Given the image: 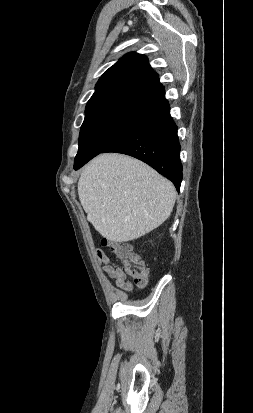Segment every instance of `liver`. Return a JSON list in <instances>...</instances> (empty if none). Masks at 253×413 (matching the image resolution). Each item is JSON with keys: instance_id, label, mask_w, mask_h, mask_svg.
I'll list each match as a JSON object with an SVG mask.
<instances>
[{"instance_id": "1", "label": "liver", "mask_w": 253, "mask_h": 413, "mask_svg": "<svg viewBox=\"0 0 253 413\" xmlns=\"http://www.w3.org/2000/svg\"><path fill=\"white\" fill-rule=\"evenodd\" d=\"M78 195L88 220L113 242L138 239L170 216L174 185L147 164L123 154H100L84 168Z\"/></svg>"}]
</instances>
